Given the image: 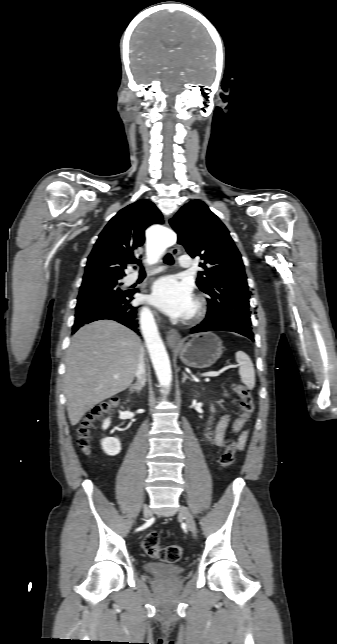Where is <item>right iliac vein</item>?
<instances>
[{"label":"right iliac vein","instance_id":"right-iliac-vein-1","mask_svg":"<svg viewBox=\"0 0 337 644\" xmlns=\"http://www.w3.org/2000/svg\"><path fill=\"white\" fill-rule=\"evenodd\" d=\"M150 514H151L150 509H149V508H145V510H144V515H145L146 517H148V516H150Z\"/></svg>","mask_w":337,"mask_h":644}]
</instances>
